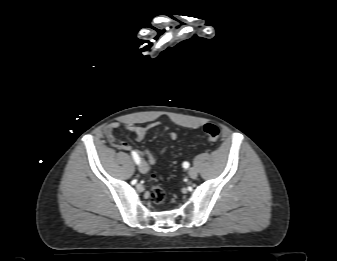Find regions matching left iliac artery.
<instances>
[{
    "label": "left iliac artery",
    "mask_w": 337,
    "mask_h": 261,
    "mask_svg": "<svg viewBox=\"0 0 337 261\" xmlns=\"http://www.w3.org/2000/svg\"><path fill=\"white\" fill-rule=\"evenodd\" d=\"M183 167H184L185 169L189 168V163H188V162H183Z\"/></svg>",
    "instance_id": "44dca946"
}]
</instances>
